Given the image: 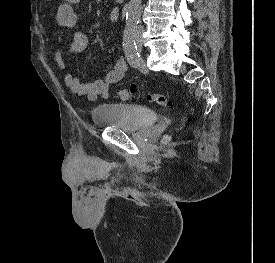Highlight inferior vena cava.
Returning a JSON list of instances; mask_svg holds the SVG:
<instances>
[{
	"instance_id": "602c4592",
	"label": "inferior vena cava",
	"mask_w": 275,
	"mask_h": 263,
	"mask_svg": "<svg viewBox=\"0 0 275 263\" xmlns=\"http://www.w3.org/2000/svg\"><path fill=\"white\" fill-rule=\"evenodd\" d=\"M136 30H137L138 32H141V31L143 30V28H142L141 26H139V27L136 28Z\"/></svg>"
}]
</instances>
